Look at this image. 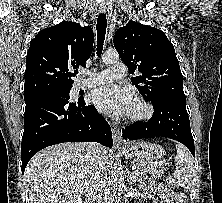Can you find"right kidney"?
<instances>
[{
    "label": "right kidney",
    "mask_w": 222,
    "mask_h": 203,
    "mask_svg": "<svg viewBox=\"0 0 222 203\" xmlns=\"http://www.w3.org/2000/svg\"><path fill=\"white\" fill-rule=\"evenodd\" d=\"M71 203H82V200L81 199H76V200L71 201Z\"/></svg>",
    "instance_id": "ca27d5eb"
}]
</instances>
